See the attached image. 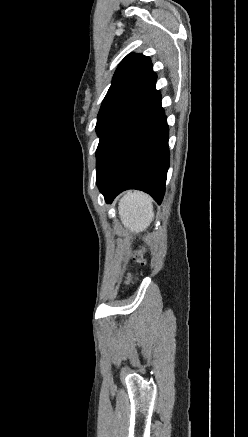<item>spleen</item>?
Returning a JSON list of instances; mask_svg holds the SVG:
<instances>
[{
    "label": "spleen",
    "instance_id": "obj_1",
    "mask_svg": "<svg viewBox=\"0 0 248 437\" xmlns=\"http://www.w3.org/2000/svg\"><path fill=\"white\" fill-rule=\"evenodd\" d=\"M118 209L124 226L134 232L146 229L154 218L152 199L143 192L126 193L120 200Z\"/></svg>",
    "mask_w": 248,
    "mask_h": 437
}]
</instances>
